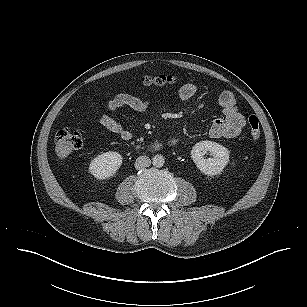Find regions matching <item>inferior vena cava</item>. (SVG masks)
I'll return each instance as SVG.
<instances>
[{"instance_id": "602c4592", "label": "inferior vena cava", "mask_w": 307, "mask_h": 307, "mask_svg": "<svg viewBox=\"0 0 307 307\" xmlns=\"http://www.w3.org/2000/svg\"><path fill=\"white\" fill-rule=\"evenodd\" d=\"M151 164V160L148 156H140L136 159L135 168L137 170H141L149 167Z\"/></svg>"}]
</instances>
